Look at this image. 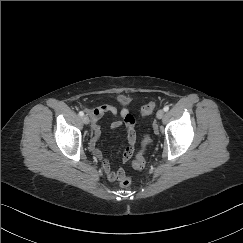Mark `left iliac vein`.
Instances as JSON below:
<instances>
[{
	"mask_svg": "<svg viewBox=\"0 0 243 243\" xmlns=\"http://www.w3.org/2000/svg\"><path fill=\"white\" fill-rule=\"evenodd\" d=\"M165 115V112L163 109H159L156 113V116L158 119H162ZM154 130L156 131L157 130V127H154Z\"/></svg>",
	"mask_w": 243,
	"mask_h": 243,
	"instance_id": "1",
	"label": "left iliac vein"
}]
</instances>
